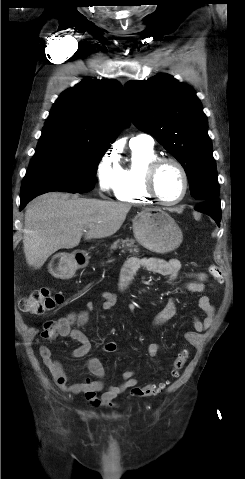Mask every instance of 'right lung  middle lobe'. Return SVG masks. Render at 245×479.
I'll return each instance as SVG.
<instances>
[{
  "instance_id": "obj_1",
  "label": "right lung middle lobe",
  "mask_w": 245,
  "mask_h": 479,
  "mask_svg": "<svg viewBox=\"0 0 245 479\" xmlns=\"http://www.w3.org/2000/svg\"><path fill=\"white\" fill-rule=\"evenodd\" d=\"M107 149L68 134L42 132L21 193L41 188L71 193L92 190L98 164Z\"/></svg>"
}]
</instances>
